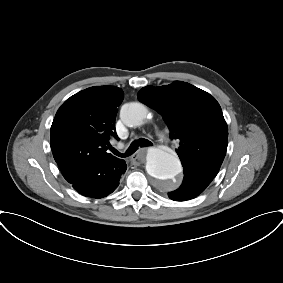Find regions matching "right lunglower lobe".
Wrapping results in <instances>:
<instances>
[{
	"instance_id": "98d812e1",
	"label": "right lung lower lobe",
	"mask_w": 283,
	"mask_h": 283,
	"mask_svg": "<svg viewBox=\"0 0 283 283\" xmlns=\"http://www.w3.org/2000/svg\"><path fill=\"white\" fill-rule=\"evenodd\" d=\"M127 169L126 163H101L94 173H88L79 177L72 183L74 189L80 194L93 198H102L112 193L122 175Z\"/></svg>"
}]
</instances>
